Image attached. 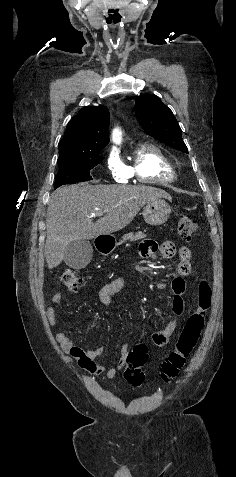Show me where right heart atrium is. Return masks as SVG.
<instances>
[{
  "label": "right heart atrium",
  "mask_w": 236,
  "mask_h": 477,
  "mask_svg": "<svg viewBox=\"0 0 236 477\" xmlns=\"http://www.w3.org/2000/svg\"><path fill=\"white\" fill-rule=\"evenodd\" d=\"M106 164L112 177L117 182L124 183L130 178V174L128 172L127 167L121 162V160L115 154H110L108 156Z\"/></svg>",
  "instance_id": "d8ad5b80"
}]
</instances>
